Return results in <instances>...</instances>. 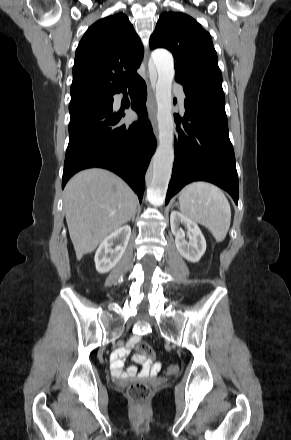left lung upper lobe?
Returning a JSON list of instances; mask_svg holds the SVG:
<instances>
[{
    "label": "left lung upper lobe",
    "mask_w": 291,
    "mask_h": 440,
    "mask_svg": "<svg viewBox=\"0 0 291 440\" xmlns=\"http://www.w3.org/2000/svg\"><path fill=\"white\" fill-rule=\"evenodd\" d=\"M158 47L172 52L175 80L184 89L225 100L211 36L196 20L184 13H163L150 37V48Z\"/></svg>",
    "instance_id": "1"
}]
</instances>
